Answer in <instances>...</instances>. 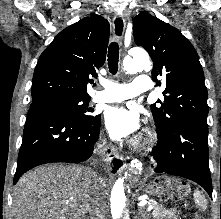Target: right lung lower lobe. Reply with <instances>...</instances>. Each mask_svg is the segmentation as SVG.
<instances>
[{"mask_svg":"<svg viewBox=\"0 0 221 219\" xmlns=\"http://www.w3.org/2000/svg\"><path fill=\"white\" fill-rule=\"evenodd\" d=\"M100 121L84 123L62 112L29 109L14 184L41 164L87 160L97 147Z\"/></svg>","mask_w":221,"mask_h":219,"instance_id":"obj_1","label":"right lung lower lobe"}]
</instances>
